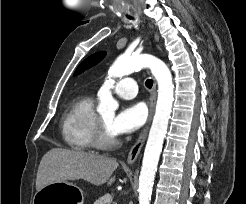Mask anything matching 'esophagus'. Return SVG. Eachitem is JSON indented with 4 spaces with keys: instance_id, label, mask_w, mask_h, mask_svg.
Segmentation results:
<instances>
[{
    "instance_id": "obj_1",
    "label": "esophagus",
    "mask_w": 246,
    "mask_h": 204,
    "mask_svg": "<svg viewBox=\"0 0 246 204\" xmlns=\"http://www.w3.org/2000/svg\"><path fill=\"white\" fill-rule=\"evenodd\" d=\"M156 96H157V87H156V83L154 82L153 84V88H152V93H151V99H150V110H149V117L147 120V123L145 125V127L143 128V130L141 131L137 141L135 142V144L132 146V148L129 151L128 157H127V163L129 165L134 164V162L137 160L138 155L145 143L148 131H149V127L151 124V120L153 117V113H154V108H155V103H156Z\"/></svg>"
}]
</instances>
